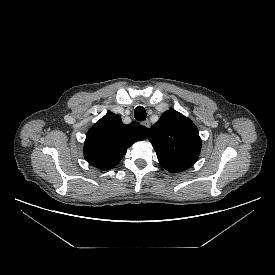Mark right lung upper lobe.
Instances as JSON below:
<instances>
[{"instance_id":"cb5924a9","label":"right lung upper lobe","mask_w":275,"mask_h":275,"mask_svg":"<svg viewBox=\"0 0 275 275\" xmlns=\"http://www.w3.org/2000/svg\"><path fill=\"white\" fill-rule=\"evenodd\" d=\"M149 129L137 122L122 123L121 117L108 112L86 135L84 157L89 164L101 170L114 168L136 141L144 140Z\"/></svg>"}]
</instances>
